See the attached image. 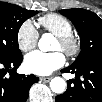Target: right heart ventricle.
<instances>
[{"label":"right heart ventricle","mask_w":102,"mask_h":102,"mask_svg":"<svg viewBox=\"0 0 102 102\" xmlns=\"http://www.w3.org/2000/svg\"><path fill=\"white\" fill-rule=\"evenodd\" d=\"M38 22L46 32L56 37L73 33L74 30L72 23L67 18L56 13L41 16L38 18Z\"/></svg>","instance_id":"1"}]
</instances>
